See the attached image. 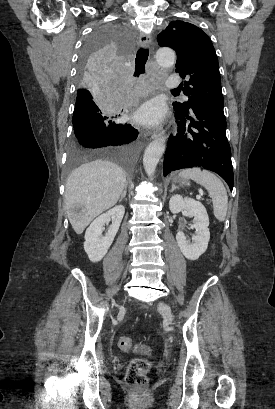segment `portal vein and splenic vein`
<instances>
[{
  "mask_svg": "<svg viewBox=\"0 0 275 409\" xmlns=\"http://www.w3.org/2000/svg\"><path fill=\"white\" fill-rule=\"evenodd\" d=\"M201 194H197V198H200Z\"/></svg>",
  "mask_w": 275,
  "mask_h": 409,
  "instance_id": "18ae733b",
  "label": "portal vein and splenic vein"
}]
</instances>
